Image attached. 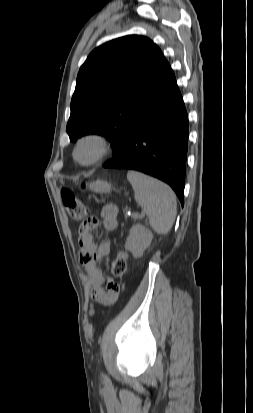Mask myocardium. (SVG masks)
<instances>
[{
  "label": "myocardium",
  "mask_w": 253,
  "mask_h": 413,
  "mask_svg": "<svg viewBox=\"0 0 253 413\" xmlns=\"http://www.w3.org/2000/svg\"><path fill=\"white\" fill-rule=\"evenodd\" d=\"M87 145L93 148V155L89 159H82L79 156V152ZM110 147L111 143L104 134L97 132L87 133L77 139L73 148V159L82 166L94 165L107 155Z\"/></svg>",
  "instance_id": "obj_1"
}]
</instances>
